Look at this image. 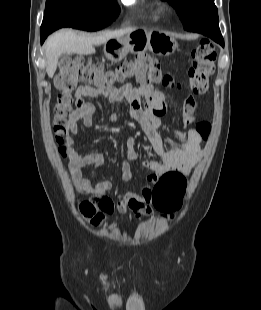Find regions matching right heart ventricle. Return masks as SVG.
Here are the masks:
<instances>
[{"label":"right heart ventricle","mask_w":261,"mask_h":310,"mask_svg":"<svg viewBox=\"0 0 261 310\" xmlns=\"http://www.w3.org/2000/svg\"><path fill=\"white\" fill-rule=\"evenodd\" d=\"M148 13L154 19H156L160 14V8L156 2H150L148 4Z\"/></svg>","instance_id":"right-heart-ventricle-1"}]
</instances>
